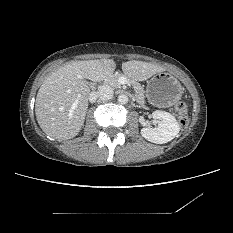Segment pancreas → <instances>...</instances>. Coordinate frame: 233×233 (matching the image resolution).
Here are the masks:
<instances>
[{
	"label": "pancreas",
	"mask_w": 233,
	"mask_h": 233,
	"mask_svg": "<svg viewBox=\"0 0 233 233\" xmlns=\"http://www.w3.org/2000/svg\"><path fill=\"white\" fill-rule=\"evenodd\" d=\"M121 76H122V74H120V73L110 75L106 79V84L112 88H121V84L119 82V78ZM128 81L132 84V86L135 90L138 102L140 104H144V89H143V87L138 82H136L134 80L128 79Z\"/></svg>",
	"instance_id": "cf45deb5"
}]
</instances>
